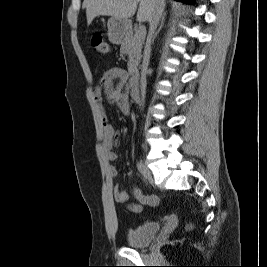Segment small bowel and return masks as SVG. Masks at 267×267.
<instances>
[{
	"instance_id": "obj_1",
	"label": "small bowel",
	"mask_w": 267,
	"mask_h": 267,
	"mask_svg": "<svg viewBox=\"0 0 267 267\" xmlns=\"http://www.w3.org/2000/svg\"><path fill=\"white\" fill-rule=\"evenodd\" d=\"M93 97L100 107V116L103 127L102 148L105 157L108 161H115L117 154L114 151V142L117 133L114 127L110 124L108 115L102 107V99L105 96L107 102L117 108L124 115H129L131 112V103L129 100V84L127 72L119 67L111 68L103 73L100 82L93 88ZM108 172L111 177L118 175V170L114 165H110ZM133 194L137 202L130 203L128 209L132 213H140L143 205L156 206L159 199L155 195H144L138 188H134ZM113 197L117 203H125L129 198V193L126 190L115 187ZM169 223H174L176 217L171 215L167 217Z\"/></svg>"
}]
</instances>
